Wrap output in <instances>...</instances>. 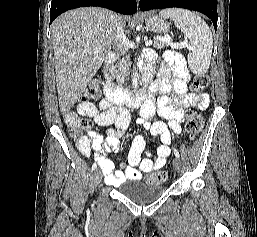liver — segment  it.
I'll use <instances>...</instances> for the list:
<instances>
[{
  "mask_svg": "<svg viewBox=\"0 0 257 237\" xmlns=\"http://www.w3.org/2000/svg\"><path fill=\"white\" fill-rule=\"evenodd\" d=\"M112 13L88 7L60 15L51 26L60 112L65 115L82 96L114 42ZM119 21L125 25L124 17Z\"/></svg>",
  "mask_w": 257,
  "mask_h": 237,
  "instance_id": "liver-1",
  "label": "liver"
}]
</instances>
